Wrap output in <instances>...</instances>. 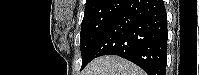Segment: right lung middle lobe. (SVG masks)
Segmentation results:
<instances>
[{
  "mask_svg": "<svg viewBox=\"0 0 199 75\" xmlns=\"http://www.w3.org/2000/svg\"><path fill=\"white\" fill-rule=\"evenodd\" d=\"M127 1L106 0L100 6L85 9L80 34L81 69L91 61V53L94 45Z\"/></svg>",
  "mask_w": 199,
  "mask_h": 75,
  "instance_id": "1",
  "label": "right lung middle lobe"
}]
</instances>
